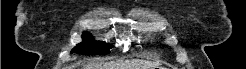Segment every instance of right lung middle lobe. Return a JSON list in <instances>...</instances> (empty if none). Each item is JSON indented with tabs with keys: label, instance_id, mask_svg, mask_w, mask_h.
<instances>
[{
	"label": "right lung middle lobe",
	"instance_id": "dd1d6c3e",
	"mask_svg": "<svg viewBox=\"0 0 246 69\" xmlns=\"http://www.w3.org/2000/svg\"><path fill=\"white\" fill-rule=\"evenodd\" d=\"M111 46L105 42L95 41L90 33H83V42L79 43L71 51L85 55H100L110 53Z\"/></svg>",
	"mask_w": 246,
	"mask_h": 69
}]
</instances>
